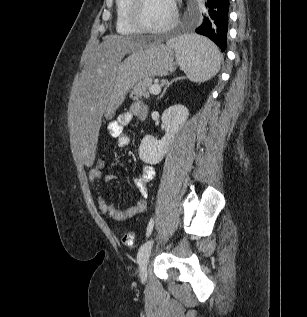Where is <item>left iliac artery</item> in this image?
Segmentation results:
<instances>
[{"label":"left iliac artery","instance_id":"1","mask_svg":"<svg viewBox=\"0 0 307 317\" xmlns=\"http://www.w3.org/2000/svg\"><path fill=\"white\" fill-rule=\"evenodd\" d=\"M153 226H154V219L151 218L150 221H149V224L147 226V232H146V236L149 237L152 233V230H153Z\"/></svg>","mask_w":307,"mask_h":317}]
</instances>
